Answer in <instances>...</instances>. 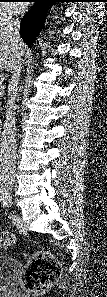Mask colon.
I'll return each instance as SVG.
<instances>
[{"label":"colon","mask_w":107,"mask_h":297,"mask_svg":"<svg viewBox=\"0 0 107 297\" xmlns=\"http://www.w3.org/2000/svg\"><path fill=\"white\" fill-rule=\"evenodd\" d=\"M14 243L13 235L1 232L0 246L8 247ZM58 263L45 252L32 255L23 277V287L32 293L45 292L59 275Z\"/></svg>","instance_id":"1"}]
</instances>
